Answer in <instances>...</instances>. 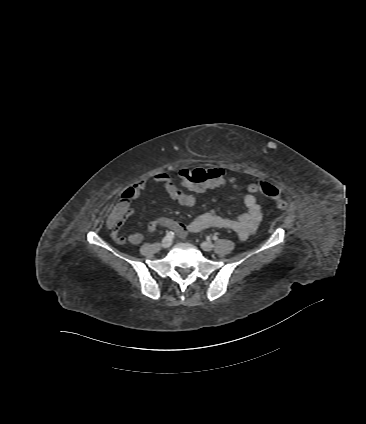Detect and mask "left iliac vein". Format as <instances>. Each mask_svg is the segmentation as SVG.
Returning a JSON list of instances; mask_svg holds the SVG:
<instances>
[{
  "label": "left iliac vein",
  "instance_id": "4c4485c4",
  "mask_svg": "<svg viewBox=\"0 0 366 424\" xmlns=\"http://www.w3.org/2000/svg\"><path fill=\"white\" fill-rule=\"evenodd\" d=\"M201 247L205 251H211L214 248V244L210 241L203 242Z\"/></svg>",
  "mask_w": 366,
  "mask_h": 424
}]
</instances>
